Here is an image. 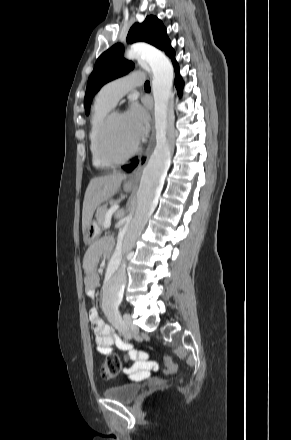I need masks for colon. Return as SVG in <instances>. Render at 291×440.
I'll use <instances>...</instances> for the list:
<instances>
[{
  "label": "colon",
  "mask_w": 291,
  "mask_h": 440,
  "mask_svg": "<svg viewBox=\"0 0 291 440\" xmlns=\"http://www.w3.org/2000/svg\"><path fill=\"white\" fill-rule=\"evenodd\" d=\"M143 357H148L146 353H139ZM121 370V364L119 358L116 355L109 354L101 368V376L105 380H111L118 377ZM165 370L168 373H172L175 370V362L171 358H166L165 360Z\"/></svg>",
  "instance_id": "1"
}]
</instances>
